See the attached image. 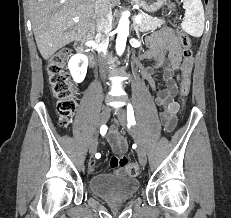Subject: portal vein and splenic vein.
I'll return each instance as SVG.
<instances>
[{"mask_svg":"<svg viewBox=\"0 0 231 218\" xmlns=\"http://www.w3.org/2000/svg\"><path fill=\"white\" fill-rule=\"evenodd\" d=\"M141 19H142V17L139 15V16H137L136 18H135V23L136 24H139L140 22H141ZM73 21L74 22H79V18H73Z\"/></svg>","mask_w":231,"mask_h":218,"instance_id":"obj_1","label":"portal vein and splenic vein"}]
</instances>
